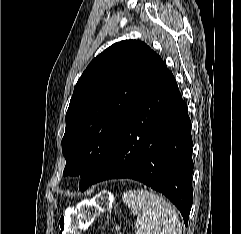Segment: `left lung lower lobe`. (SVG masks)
Wrapping results in <instances>:
<instances>
[{"instance_id":"1","label":"left lung lower lobe","mask_w":241,"mask_h":234,"mask_svg":"<svg viewBox=\"0 0 241 234\" xmlns=\"http://www.w3.org/2000/svg\"><path fill=\"white\" fill-rule=\"evenodd\" d=\"M192 145L186 104L162 62L129 110L90 185L138 180L168 197L187 226L193 202Z\"/></svg>"}]
</instances>
